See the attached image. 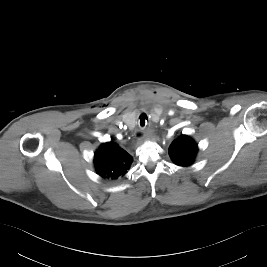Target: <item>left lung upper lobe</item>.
I'll list each match as a JSON object with an SVG mask.
<instances>
[{
    "label": "left lung upper lobe",
    "instance_id": "obj_1",
    "mask_svg": "<svg viewBox=\"0 0 267 267\" xmlns=\"http://www.w3.org/2000/svg\"><path fill=\"white\" fill-rule=\"evenodd\" d=\"M197 151V144L187 135H181L169 147V155L172 161L183 167L193 164Z\"/></svg>",
    "mask_w": 267,
    "mask_h": 267
}]
</instances>
